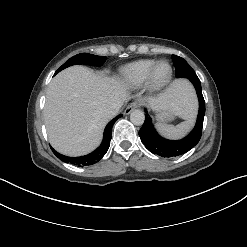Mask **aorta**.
Instances as JSON below:
<instances>
[{"instance_id": "aorta-1", "label": "aorta", "mask_w": 247, "mask_h": 247, "mask_svg": "<svg viewBox=\"0 0 247 247\" xmlns=\"http://www.w3.org/2000/svg\"><path fill=\"white\" fill-rule=\"evenodd\" d=\"M130 120L134 125H142L145 120V115L143 111L136 109L131 112Z\"/></svg>"}]
</instances>
